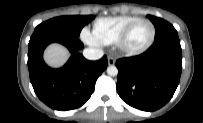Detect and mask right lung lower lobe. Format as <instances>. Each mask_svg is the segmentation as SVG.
I'll return each mask as SVG.
<instances>
[{
	"instance_id": "obj_1",
	"label": "right lung lower lobe",
	"mask_w": 203,
	"mask_h": 123,
	"mask_svg": "<svg viewBox=\"0 0 203 123\" xmlns=\"http://www.w3.org/2000/svg\"><path fill=\"white\" fill-rule=\"evenodd\" d=\"M52 42L65 45L70 52L83 48L77 38L34 32L29 41L28 68L30 81L39 99L55 110H73L84 105L94 91L95 82L107 67V57L88 61L75 53L59 69L48 67L43 51Z\"/></svg>"
}]
</instances>
